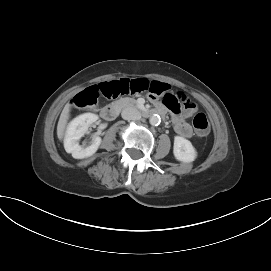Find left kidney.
<instances>
[{
    "instance_id": "1",
    "label": "left kidney",
    "mask_w": 271,
    "mask_h": 271,
    "mask_svg": "<svg viewBox=\"0 0 271 271\" xmlns=\"http://www.w3.org/2000/svg\"><path fill=\"white\" fill-rule=\"evenodd\" d=\"M173 153L178 161L189 163L193 162L197 156V152L192 143L180 136H175Z\"/></svg>"
}]
</instances>
